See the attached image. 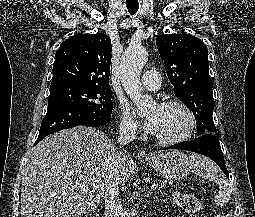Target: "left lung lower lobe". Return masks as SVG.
I'll return each mask as SVG.
<instances>
[{
    "label": "left lung lower lobe",
    "instance_id": "1",
    "mask_svg": "<svg viewBox=\"0 0 255 217\" xmlns=\"http://www.w3.org/2000/svg\"><path fill=\"white\" fill-rule=\"evenodd\" d=\"M163 149L192 151L209 157L216 162L224 174L229 178L220 143L215 133H204L192 141H187L185 143Z\"/></svg>",
    "mask_w": 255,
    "mask_h": 217
}]
</instances>
